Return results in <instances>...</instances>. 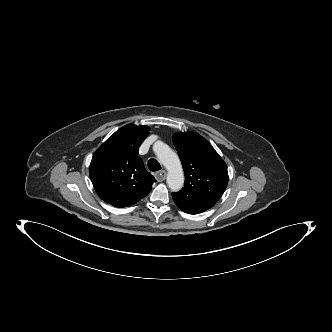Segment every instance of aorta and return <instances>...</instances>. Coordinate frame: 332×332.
Instances as JSON below:
<instances>
[{
	"label": "aorta",
	"mask_w": 332,
	"mask_h": 332,
	"mask_svg": "<svg viewBox=\"0 0 332 332\" xmlns=\"http://www.w3.org/2000/svg\"><path fill=\"white\" fill-rule=\"evenodd\" d=\"M158 160L168 170L167 184L172 191H179L184 185V173L178 155L165 143L158 141L153 145Z\"/></svg>",
	"instance_id": "obj_1"
}]
</instances>
